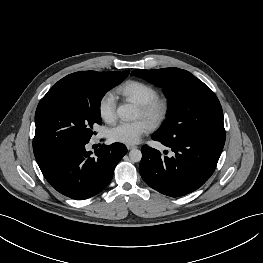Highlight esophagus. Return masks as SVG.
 Masks as SVG:
<instances>
[{
    "label": "esophagus",
    "mask_w": 263,
    "mask_h": 263,
    "mask_svg": "<svg viewBox=\"0 0 263 263\" xmlns=\"http://www.w3.org/2000/svg\"><path fill=\"white\" fill-rule=\"evenodd\" d=\"M126 147L128 150H132V149L137 148V146H135V145H127Z\"/></svg>",
    "instance_id": "esophagus-1"
}]
</instances>
